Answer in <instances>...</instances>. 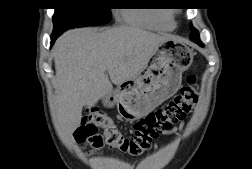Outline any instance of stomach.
<instances>
[{
    "instance_id": "1",
    "label": "stomach",
    "mask_w": 252,
    "mask_h": 169,
    "mask_svg": "<svg viewBox=\"0 0 252 169\" xmlns=\"http://www.w3.org/2000/svg\"><path fill=\"white\" fill-rule=\"evenodd\" d=\"M192 61L193 52L187 45L168 39L157 47L136 77L118 85L103 98V103L108 107L116 105L125 120H138L178 91L182 73Z\"/></svg>"
}]
</instances>
